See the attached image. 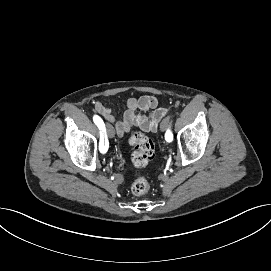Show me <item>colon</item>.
I'll use <instances>...</instances> for the list:
<instances>
[{
  "mask_svg": "<svg viewBox=\"0 0 271 271\" xmlns=\"http://www.w3.org/2000/svg\"><path fill=\"white\" fill-rule=\"evenodd\" d=\"M129 144L134 151L131 161L138 168L145 167L154 157L153 142L142 133H134L129 138ZM132 192L135 195H144L150 189V183L144 177H138L132 184Z\"/></svg>",
  "mask_w": 271,
  "mask_h": 271,
  "instance_id": "5ec220e1",
  "label": "colon"
}]
</instances>
